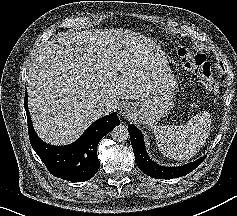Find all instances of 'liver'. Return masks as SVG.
Returning <instances> with one entry per match:
<instances>
[{
    "label": "liver",
    "instance_id": "liver-1",
    "mask_svg": "<svg viewBox=\"0 0 237 216\" xmlns=\"http://www.w3.org/2000/svg\"><path fill=\"white\" fill-rule=\"evenodd\" d=\"M160 78L153 68L124 65L113 31L58 34L42 47L27 74L36 131L51 143L73 141L115 110H103L102 99L140 100Z\"/></svg>",
    "mask_w": 237,
    "mask_h": 216
}]
</instances>
